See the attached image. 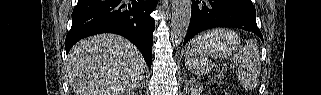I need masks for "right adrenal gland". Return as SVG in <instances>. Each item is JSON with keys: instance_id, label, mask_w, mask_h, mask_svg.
I'll return each instance as SVG.
<instances>
[{"instance_id": "1", "label": "right adrenal gland", "mask_w": 321, "mask_h": 95, "mask_svg": "<svg viewBox=\"0 0 321 95\" xmlns=\"http://www.w3.org/2000/svg\"><path fill=\"white\" fill-rule=\"evenodd\" d=\"M143 86H144V79H142L141 83L138 84V86L135 88V90L139 89L141 91Z\"/></svg>"}]
</instances>
